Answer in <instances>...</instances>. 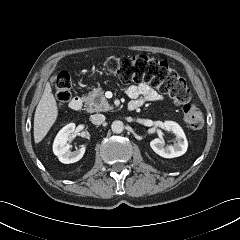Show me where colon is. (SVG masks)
<instances>
[{
    "label": "colon",
    "instance_id": "obj_1",
    "mask_svg": "<svg viewBox=\"0 0 240 240\" xmlns=\"http://www.w3.org/2000/svg\"><path fill=\"white\" fill-rule=\"evenodd\" d=\"M107 71L123 82H143L158 88L182 107L185 123L197 130L203 126V114L191 100V91L186 81L165 61L145 55L108 57ZM71 77L63 71L56 79L55 98L57 106L63 108L71 99Z\"/></svg>",
    "mask_w": 240,
    "mask_h": 240
}]
</instances>
